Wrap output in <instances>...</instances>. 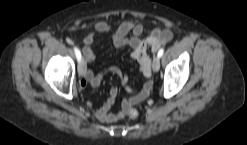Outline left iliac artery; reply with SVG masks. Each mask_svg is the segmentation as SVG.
I'll list each match as a JSON object with an SVG mask.
<instances>
[{
  "label": "left iliac artery",
  "instance_id": "44dca946",
  "mask_svg": "<svg viewBox=\"0 0 247 145\" xmlns=\"http://www.w3.org/2000/svg\"><path fill=\"white\" fill-rule=\"evenodd\" d=\"M163 53H164V49H163V48H161V49L158 51L157 56H158L159 58H161V57H162V55H163Z\"/></svg>",
  "mask_w": 247,
  "mask_h": 145
}]
</instances>
